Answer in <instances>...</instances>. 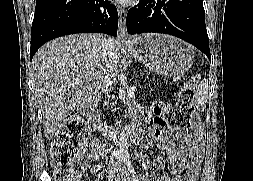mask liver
Instances as JSON below:
<instances>
[{
    "label": "liver",
    "instance_id": "liver-1",
    "mask_svg": "<svg viewBox=\"0 0 253 181\" xmlns=\"http://www.w3.org/2000/svg\"><path fill=\"white\" fill-rule=\"evenodd\" d=\"M104 61L98 34L57 38L42 46L32 60V81L43 114L44 134L51 139L77 106L117 69L120 42ZM79 83H76V82Z\"/></svg>",
    "mask_w": 253,
    "mask_h": 181
}]
</instances>
